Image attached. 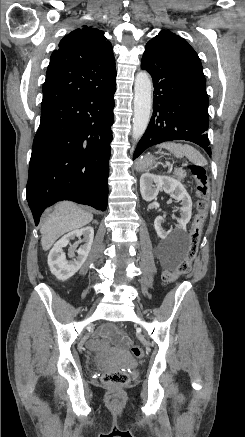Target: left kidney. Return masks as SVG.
Masks as SVG:
<instances>
[{"label":"left kidney","instance_id":"5707ae66","mask_svg":"<svg viewBox=\"0 0 245 437\" xmlns=\"http://www.w3.org/2000/svg\"><path fill=\"white\" fill-rule=\"evenodd\" d=\"M160 190L170 194L175 200L182 205L180 207L181 217L178 220V225L174 231L164 230L162 227L163 218L158 216L154 221V227L158 237L161 239L172 238L178 239L186 233V225L192 215V200L187 193L185 187L176 179L169 176H157L150 173H144L140 178V192L142 198L150 202L156 199Z\"/></svg>","mask_w":245,"mask_h":437}]
</instances>
